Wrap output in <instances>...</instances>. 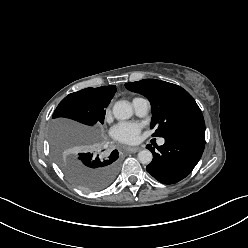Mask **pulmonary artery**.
<instances>
[{"mask_svg": "<svg viewBox=\"0 0 248 248\" xmlns=\"http://www.w3.org/2000/svg\"><path fill=\"white\" fill-rule=\"evenodd\" d=\"M132 105H133V108L136 114L139 116H145L149 112V109H150V104L148 100L144 98H135L132 101ZM164 142H165L164 139L159 140L160 145H163Z\"/></svg>", "mask_w": 248, "mask_h": 248, "instance_id": "pulmonary-artery-1", "label": "pulmonary artery"}]
</instances>
